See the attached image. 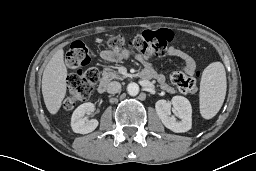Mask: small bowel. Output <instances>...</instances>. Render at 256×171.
I'll use <instances>...</instances> for the list:
<instances>
[{"mask_svg": "<svg viewBox=\"0 0 256 171\" xmlns=\"http://www.w3.org/2000/svg\"><path fill=\"white\" fill-rule=\"evenodd\" d=\"M168 55L172 57H177L184 61V69L188 74H193L196 68V63L194 58L186 51L185 48H177L170 46L168 48ZM99 57L106 61H118L120 59H125L128 57V51L123 50L121 52L115 53L109 50H103L99 53ZM142 77L145 79L153 78L155 79L164 89H168V84L166 78L163 74L156 72L151 67H147L143 73Z\"/></svg>", "mask_w": 256, "mask_h": 171, "instance_id": "1", "label": "small bowel"}]
</instances>
